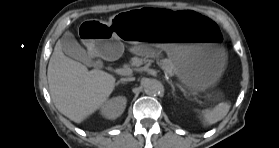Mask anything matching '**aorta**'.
Returning a JSON list of instances; mask_svg holds the SVG:
<instances>
[{"label": "aorta", "mask_w": 279, "mask_h": 148, "mask_svg": "<svg viewBox=\"0 0 279 148\" xmlns=\"http://www.w3.org/2000/svg\"><path fill=\"white\" fill-rule=\"evenodd\" d=\"M144 91L149 96H156L163 92V85L156 79H147L144 82Z\"/></svg>", "instance_id": "1"}]
</instances>
